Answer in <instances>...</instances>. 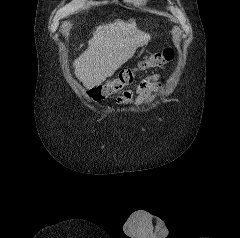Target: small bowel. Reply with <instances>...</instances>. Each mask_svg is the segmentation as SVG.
Wrapping results in <instances>:
<instances>
[{
  "instance_id": "c3829d8e",
  "label": "small bowel",
  "mask_w": 240,
  "mask_h": 238,
  "mask_svg": "<svg viewBox=\"0 0 240 238\" xmlns=\"http://www.w3.org/2000/svg\"><path fill=\"white\" fill-rule=\"evenodd\" d=\"M160 87V76L158 74L149 76L143 79L134 91L128 90L118 97L117 103L121 105L142 103L152 93L158 91Z\"/></svg>"
}]
</instances>
